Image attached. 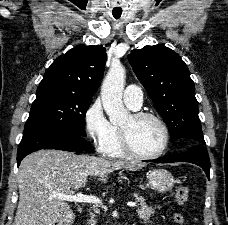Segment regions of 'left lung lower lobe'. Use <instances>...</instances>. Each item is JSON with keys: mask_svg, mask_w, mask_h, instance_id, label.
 Instances as JSON below:
<instances>
[{"mask_svg": "<svg viewBox=\"0 0 228 225\" xmlns=\"http://www.w3.org/2000/svg\"><path fill=\"white\" fill-rule=\"evenodd\" d=\"M146 162L154 163H173V162H189L200 166L210 179V160L205 145L193 144L190 148L181 153L171 154L161 159L150 160Z\"/></svg>", "mask_w": 228, "mask_h": 225, "instance_id": "0a47b994", "label": "left lung lower lobe"}]
</instances>
